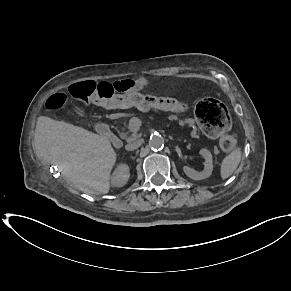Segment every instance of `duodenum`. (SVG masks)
<instances>
[{
	"label": "duodenum",
	"mask_w": 291,
	"mask_h": 291,
	"mask_svg": "<svg viewBox=\"0 0 291 291\" xmlns=\"http://www.w3.org/2000/svg\"><path fill=\"white\" fill-rule=\"evenodd\" d=\"M97 130L104 134L106 139H109V143L117 148L124 146V141L113 135V132L108 129V126L104 123L97 124Z\"/></svg>",
	"instance_id": "410a0bca"
}]
</instances>
